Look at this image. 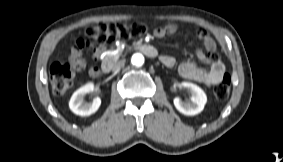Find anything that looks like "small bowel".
Returning <instances> with one entry per match:
<instances>
[{
  "instance_id": "1",
  "label": "small bowel",
  "mask_w": 283,
  "mask_h": 162,
  "mask_svg": "<svg viewBox=\"0 0 283 162\" xmlns=\"http://www.w3.org/2000/svg\"><path fill=\"white\" fill-rule=\"evenodd\" d=\"M177 31L175 24H168L164 27H158L154 30V35L162 38L166 35L174 34ZM199 37L202 39L205 50L199 49L196 52L197 58L209 65L208 69L199 67L194 62H183L179 66V74L190 80L203 83L208 86L218 84L225 75V66L223 62L214 56L216 43L214 39L204 30L199 32ZM84 48H92V55L94 58L106 57L107 51L103 45L93 47V44L86 39L79 38L71 47L69 55V63L73 69L81 71L86 67V61L83 57L82 51ZM161 61L168 67L175 64V59L169 55H163ZM91 78H100L103 75V70L100 67L91 66L88 69Z\"/></svg>"
}]
</instances>
